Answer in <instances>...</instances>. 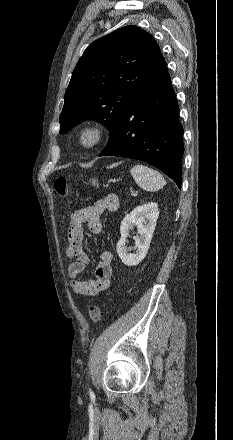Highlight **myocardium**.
I'll list each match as a JSON object with an SVG mask.
<instances>
[{
    "label": "myocardium",
    "mask_w": 233,
    "mask_h": 440,
    "mask_svg": "<svg viewBox=\"0 0 233 440\" xmlns=\"http://www.w3.org/2000/svg\"><path fill=\"white\" fill-rule=\"evenodd\" d=\"M106 138L105 128L98 123L83 125L77 133V144L82 149L90 150L99 147Z\"/></svg>",
    "instance_id": "1"
}]
</instances>
